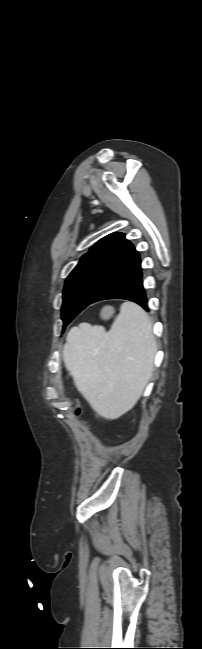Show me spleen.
I'll return each instance as SVG.
<instances>
[{"instance_id":"3e777b00","label":"spleen","mask_w":202,"mask_h":649,"mask_svg":"<svg viewBox=\"0 0 202 649\" xmlns=\"http://www.w3.org/2000/svg\"><path fill=\"white\" fill-rule=\"evenodd\" d=\"M156 341L148 314L125 302L110 331L81 324L63 348L75 385L101 416L114 419L140 398L153 370Z\"/></svg>"}]
</instances>
